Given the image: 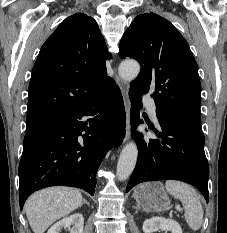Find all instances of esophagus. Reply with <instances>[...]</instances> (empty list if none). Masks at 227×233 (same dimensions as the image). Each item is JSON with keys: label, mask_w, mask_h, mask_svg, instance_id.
<instances>
[{"label": "esophagus", "mask_w": 227, "mask_h": 233, "mask_svg": "<svg viewBox=\"0 0 227 233\" xmlns=\"http://www.w3.org/2000/svg\"><path fill=\"white\" fill-rule=\"evenodd\" d=\"M116 82L118 86L121 89L123 99H124V104H125V111H126V133L124 137V142H126L131 135V127H130V108H131V103L129 100V85L127 82L123 81L120 79L118 76H116Z\"/></svg>", "instance_id": "obj_1"}]
</instances>
